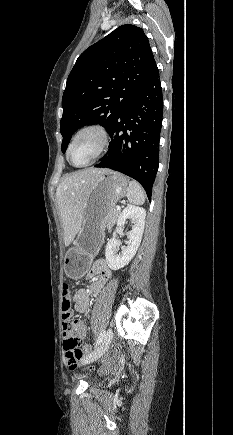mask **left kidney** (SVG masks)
Segmentation results:
<instances>
[{
  "label": "left kidney",
  "instance_id": "obj_1",
  "mask_svg": "<svg viewBox=\"0 0 233 435\" xmlns=\"http://www.w3.org/2000/svg\"><path fill=\"white\" fill-rule=\"evenodd\" d=\"M146 211L144 208L128 205L120 214L117 221L116 231L113 232V238L106 245L105 257L108 266L112 270H119L126 266L135 256L138 247L141 243L144 226H145ZM128 218L133 219L132 230L128 232V243L126 247L118 254L119 243L116 239V233L124 226Z\"/></svg>",
  "mask_w": 233,
  "mask_h": 435
}]
</instances>
